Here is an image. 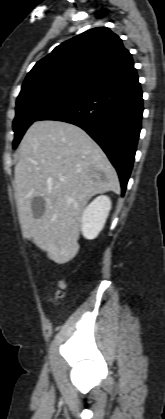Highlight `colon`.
Instances as JSON below:
<instances>
[{"label": "colon", "instance_id": "5ec220e1", "mask_svg": "<svg viewBox=\"0 0 165 419\" xmlns=\"http://www.w3.org/2000/svg\"><path fill=\"white\" fill-rule=\"evenodd\" d=\"M65 289V282L63 280H58L54 284V299H60L63 296V291Z\"/></svg>", "mask_w": 165, "mask_h": 419}]
</instances>
